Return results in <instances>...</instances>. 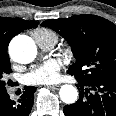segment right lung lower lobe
Returning <instances> with one entry per match:
<instances>
[{"label":"right lung lower lobe","mask_w":116,"mask_h":116,"mask_svg":"<svg viewBox=\"0 0 116 116\" xmlns=\"http://www.w3.org/2000/svg\"><path fill=\"white\" fill-rule=\"evenodd\" d=\"M35 90L36 87H26L18 102L12 101L8 94L0 96V116H28Z\"/></svg>","instance_id":"98d812e1"}]
</instances>
